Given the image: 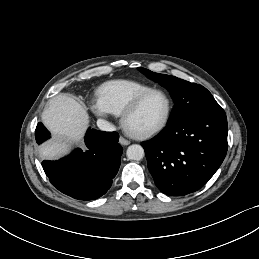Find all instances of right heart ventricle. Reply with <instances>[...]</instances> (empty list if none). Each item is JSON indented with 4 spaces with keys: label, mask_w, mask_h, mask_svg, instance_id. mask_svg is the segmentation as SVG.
Here are the masks:
<instances>
[{
    "label": "right heart ventricle",
    "mask_w": 259,
    "mask_h": 259,
    "mask_svg": "<svg viewBox=\"0 0 259 259\" xmlns=\"http://www.w3.org/2000/svg\"><path fill=\"white\" fill-rule=\"evenodd\" d=\"M150 89L151 86L141 82L114 80L101 87L99 100L109 113L120 116L133 99Z\"/></svg>",
    "instance_id": "1"
}]
</instances>
